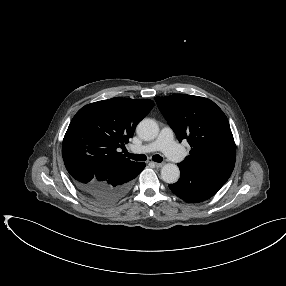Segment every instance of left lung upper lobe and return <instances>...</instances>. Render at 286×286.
I'll use <instances>...</instances> for the list:
<instances>
[{
	"mask_svg": "<svg viewBox=\"0 0 286 286\" xmlns=\"http://www.w3.org/2000/svg\"><path fill=\"white\" fill-rule=\"evenodd\" d=\"M178 140L186 139L190 155L178 164L223 183L235 165L236 147L223 111L211 100L186 94L154 98Z\"/></svg>",
	"mask_w": 286,
	"mask_h": 286,
	"instance_id": "obj_1",
	"label": "left lung upper lobe"
}]
</instances>
